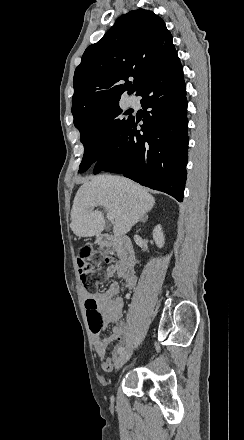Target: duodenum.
I'll list each match as a JSON object with an SVG mask.
<instances>
[{
	"mask_svg": "<svg viewBox=\"0 0 244 440\" xmlns=\"http://www.w3.org/2000/svg\"><path fill=\"white\" fill-rule=\"evenodd\" d=\"M98 243L102 247L115 246L119 253L121 262L132 268L136 264V253L132 246V241L125 236H112L109 234H102L97 237Z\"/></svg>",
	"mask_w": 244,
	"mask_h": 440,
	"instance_id": "410a0bca",
	"label": "duodenum"
}]
</instances>
